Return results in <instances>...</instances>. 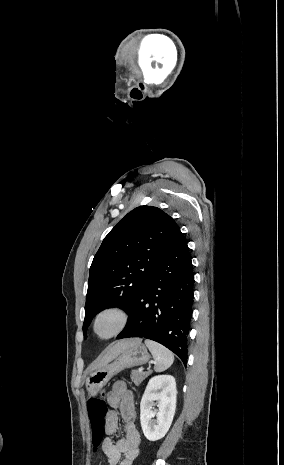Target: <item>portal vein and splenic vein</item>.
<instances>
[{"mask_svg":"<svg viewBox=\"0 0 284 465\" xmlns=\"http://www.w3.org/2000/svg\"><path fill=\"white\" fill-rule=\"evenodd\" d=\"M140 373H142L143 369H139Z\"/></svg>","mask_w":284,"mask_h":465,"instance_id":"1","label":"portal vein and splenic vein"}]
</instances>
